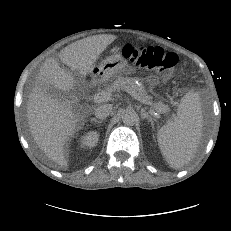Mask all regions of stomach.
Here are the masks:
<instances>
[{
	"mask_svg": "<svg viewBox=\"0 0 231 231\" xmlns=\"http://www.w3.org/2000/svg\"><path fill=\"white\" fill-rule=\"evenodd\" d=\"M131 72V67L128 65L127 60L120 54L111 55L96 66L92 75L94 78L106 81L115 78L119 75H125ZM150 86L157 83L156 77L150 76L146 79Z\"/></svg>",
	"mask_w": 231,
	"mask_h": 231,
	"instance_id": "1",
	"label": "stomach"
}]
</instances>
